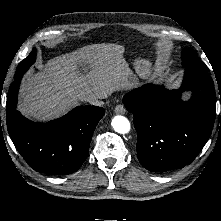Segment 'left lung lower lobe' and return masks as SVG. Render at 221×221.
Listing matches in <instances>:
<instances>
[{
    "instance_id": "obj_1",
    "label": "left lung lower lobe",
    "mask_w": 221,
    "mask_h": 221,
    "mask_svg": "<svg viewBox=\"0 0 221 221\" xmlns=\"http://www.w3.org/2000/svg\"><path fill=\"white\" fill-rule=\"evenodd\" d=\"M192 91L184 102L182 92ZM126 109L134 116L137 156L153 172L189 165L208 141L215 121V89L205 70L187 68L180 89L147 84L127 93Z\"/></svg>"
}]
</instances>
